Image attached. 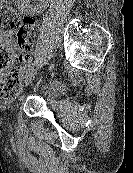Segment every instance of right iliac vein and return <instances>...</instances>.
<instances>
[{"label": "right iliac vein", "instance_id": "63e3f726", "mask_svg": "<svg viewBox=\"0 0 133 173\" xmlns=\"http://www.w3.org/2000/svg\"><path fill=\"white\" fill-rule=\"evenodd\" d=\"M36 75V70H31L29 71L26 75H25V83L29 84L32 82V80L34 79Z\"/></svg>", "mask_w": 133, "mask_h": 173}]
</instances>
